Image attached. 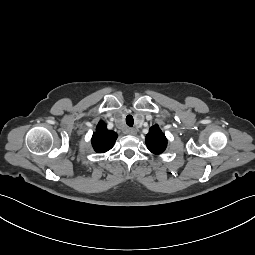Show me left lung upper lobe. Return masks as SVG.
<instances>
[{"label":"left lung upper lobe","instance_id":"left-lung-upper-lobe-1","mask_svg":"<svg viewBox=\"0 0 255 255\" xmlns=\"http://www.w3.org/2000/svg\"><path fill=\"white\" fill-rule=\"evenodd\" d=\"M146 145L154 154H161L166 149L167 139L158 125L150 128L149 133L146 135Z\"/></svg>","mask_w":255,"mask_h":255}]
</instances>
